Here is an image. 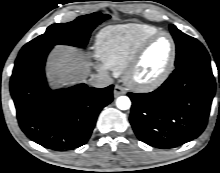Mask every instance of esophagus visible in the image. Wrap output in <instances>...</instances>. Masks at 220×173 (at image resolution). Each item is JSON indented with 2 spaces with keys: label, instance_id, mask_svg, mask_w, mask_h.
I'll return each instance as SVG.
<instances>
[{
  "label": "esophagus",
  "instance_id": "34e87169",
  "mask_svg": "<svg viewBox=\"0 0 220 173\" xmlns=\"http://www.w3.org/2000/svg\"><path fill=\"white\" fill-rule=\"evenodd\" d=\"M125 93H126V90L124 89V87H122L121 85H118V84L115 85L114 91H113L114 97H118V96L123 95Z\"/></svg>",
  "mask_w": 220,
  "mask_h": 173
}]
</instances>
